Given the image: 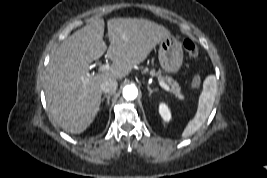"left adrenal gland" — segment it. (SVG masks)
I'll list each match as a JSON object with an SVG mask.
<instances>
[{"label": "left adrenal gland", "instance_id": "a2214340", "mask_svg": "<svg viewBox=\"0 0 267 178\" xmlns=\"http://www.w3.org/2000/svg\"><path fill=\"white\" fill-rule=\"evenodd\" d=\"M147 89L149 91V95H151L153 93V89H151L149 85L147 86Z\"/></svg>", "mask_w": 267, "mask_h": 178}]
</instances>
